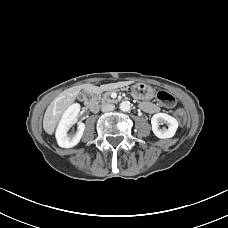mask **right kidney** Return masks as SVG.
Listing matches in <instances>:
<instances>
[{
	"label": "right kidney",
	"instance_id": "1",
	"mask_svg": "<svg viewBox=\"0 0 228 228\" xmlns=\"http://www.w3.org/2000/svg\"><path fill=\"white\" fill-rule=\"evenodd\" d=\"M80 111V105L78 103L72 104L64 112L59 125L56 130V140L62 148H72L76 146L84 133L85 124L82 122L78 123L77 132L75 134H69L70 127L76 122V118Z\"/></svg>",
	"mask_w": 228,
	"mask_h": 228
}]
</instances>
